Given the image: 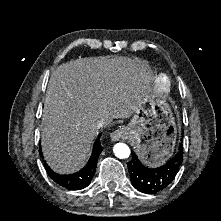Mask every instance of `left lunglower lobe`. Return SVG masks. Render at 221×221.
I'll return each mask as SVG.
<instances>
[{"label":"left lung lower lobe","instance_id":"left-lung-lower-lobe-1","mask_svg":"<svg viewBox=\"0 0 221 221\" xmlns=\"http://www.w3.org/2000/svg\"><path fill=\"white\" fill-rule=\"evenodd\" d=\"M132 155L127 164L132 185L140 192L155 194L174 180L183 161V145L180 144L177 154L170 161L157 168L145 167L135 153Z\"/></svg>","mask_w":221,"mask_h":221}]
</instances>
